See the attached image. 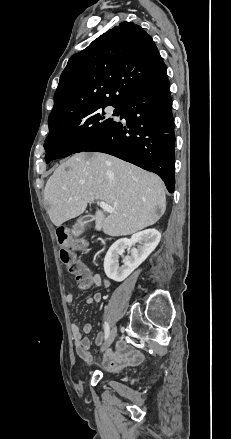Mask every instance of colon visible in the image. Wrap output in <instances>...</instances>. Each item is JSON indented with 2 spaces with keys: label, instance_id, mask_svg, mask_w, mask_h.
I'll return each mask as SVG.
<instances>
[{
  "label": "colon",
  "instance_id": "colon-1",
  "mask_svg": "<svg viewBox=\"0 0 231 439\" xmlns=\"http://www.w3.org/2000/svg\"><path fill=\"white\" fill-rule=\"evenodd\" d=\"M56 236L61 262L67 267L69 273L75 276L81 289L89 288L91 284V273L89 269L76 258V255L72 250L74 248H84L86 243L81 241V238L78 235L69 237V233L64 227L57 229Z\"/></svg>",
  "mask_w": 231,
  "mask_h": 439
}]
</instances>
